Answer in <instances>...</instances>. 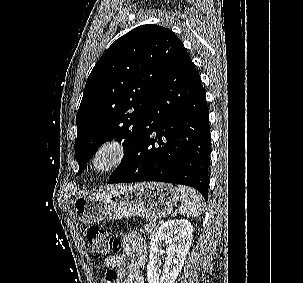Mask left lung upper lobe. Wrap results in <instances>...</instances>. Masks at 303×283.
Instances as JSON below:
<instances>
[{"instance_id":"1","label":"left lung upper lobe","mask_w":303,"mask_h":283,"mask_svg":"<svg viewBox=\"0 0 303 283\" xmlns=\"http://www.w3.org/2000/svg\"><path fill=\"white\" fill-rule=\"evenodd\" d=\"M183 49L172 30L154 24L138 26L112 43L87 79L76 116L77 175L114 138L124 139L125 154L110 178L121 170L136 146L152 97Z\"/></svg>"}]
</instances>
